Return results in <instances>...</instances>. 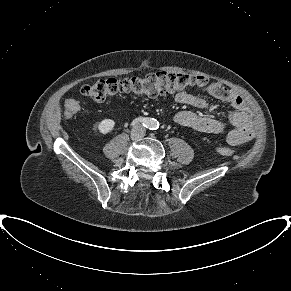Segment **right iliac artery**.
<instances>
[{
    "mask_svg": "<svg viewBox=\"0 0 291 291\" xmlns=\"http://www.w3.org/2000/svg\"><path fill=\"white\" fill-rule=\"evenodd\" d=\"M138 122L142 123V124H147L148 123V120L146 118H137L135 119L131 125L134 126L135 124H137Z\"/></svg>",
    "mask_w": 291,
    "mask_h": 291,
    "instance_id": "82829eb1",
    "label": "right iliac artery"
}]
</instances>
